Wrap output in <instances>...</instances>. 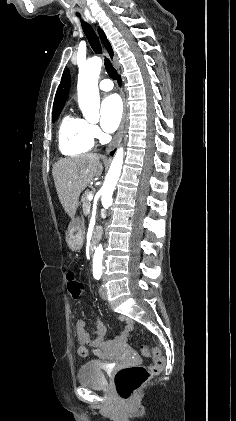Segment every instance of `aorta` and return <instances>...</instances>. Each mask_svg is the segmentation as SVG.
I'll use <instances>...</instances> for the list:
<instances>
[{"mask_svg": "<svg viewBox=\"0 0 236 421\" xmlns=\"http://www.w3.org/2000/svg\"><path fill=\"white\" fill-rule=\"evenodd\" d=\"M102 66L100 56H92L87 60L85 66L79 70L78 76V102L83 112L86 114L87 104H94L99 96L98 78ZM124 148H118L108 170L106 180L101 188V202L104 208H109L113 202V190L118 182L123 164ZM103 247L99 245L95 251L93 259L94 273H102Z\"/></svg>", "mask_w": 236, "mask_h": 421, "instance_id": "762f6f07", "label": "aorta"}]
</instances>
